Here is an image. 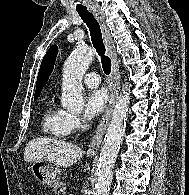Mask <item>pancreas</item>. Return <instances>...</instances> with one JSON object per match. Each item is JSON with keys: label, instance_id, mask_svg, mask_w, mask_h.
Segmentation results:
<instances>
[{"label": "pancreas", "instance_id": "cf45deb5", "mask_svg": "<svg viewBox=\"0 0 189 195\" xmlns=\"http://www.w3.org/2000/svg\"><path fill=\"white\" fill-rule=\"evenodd\" d=\"M65 183L63 182H57L54 186H53V190L55 192L56 195H61V189L65 187Z\"/></svg>", "mask_w": 189, "mask_h": 195}]
</instances>
